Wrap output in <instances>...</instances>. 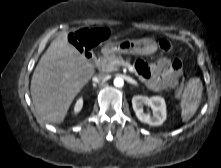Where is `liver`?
Masks as SVG:
<instances>
[{
	"mask_svg": "<svg viewBox=\"0 0 221 168\" xmlns=\"http://www.w3.org/2000/svg\"><path fill=\"white\" fill-rule=\"evenodd\" d=\"M67 36L68 32H62L51 42L30 85L36 112L43 120L58 124L64 121L72 101L94 73Z\"/></svg>",
	"mask_w": 221,
	"mask_h": 168,
	"instance_id": "6515ba94",
	"label": "liver"
}]
</instances>
